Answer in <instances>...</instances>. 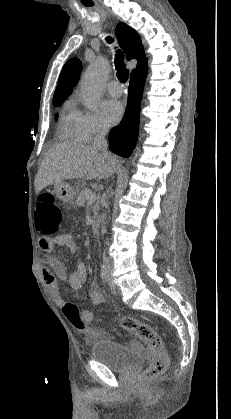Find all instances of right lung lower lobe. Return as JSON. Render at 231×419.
Listing matches in <instances>:
<instances>
[{
    "label": "right lung lower lobe",
    "mask_w": 231,
    "mask_h": 419,
    "mask_svg": "<svg viewBox=\"0 0 231 419\" xmlns=\"http://www.w3.org/2000/svg\"><path fill=\"white\" fill-rule=\"evenodd\" d=\"M147 74V63L131 73L127 109L120 125L111 129L110 149L121 156L128 157L134 149L139 132V113L142 91Z\"/></svg>",
    "instance_id": "right-lung-lower-lobe-1"
}]
</instances>
